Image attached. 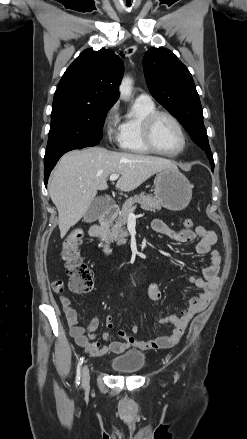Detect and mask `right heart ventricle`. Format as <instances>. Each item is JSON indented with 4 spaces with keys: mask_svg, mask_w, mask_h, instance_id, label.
<instances>
[{
    "mask_svg": "<svg viewBox=\"0 0 247 439\" xmlns=\"http://www.w3.org/2000/svg\"><path fill=\"white\" fill-rule=\"evenodd\" d=\"M156 111L155 104L136 100L121 123V138L119 146L122 150L133 153H149L142 138L144 119Z\"/></svg>",
    "mask_w": 247,
    "mask_h": 439,
    "instance_id": "obj_1",
    "label": "right heart ventricle"
}]
</instances>
